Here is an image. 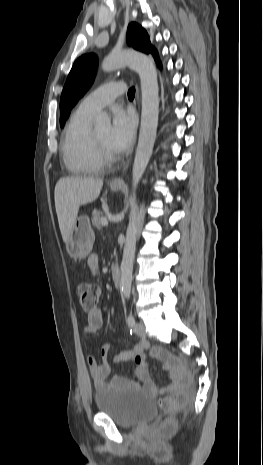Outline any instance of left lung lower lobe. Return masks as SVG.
Masks as SVG:
<instances>
[{
  "label": "left lung lower lobe",
  "instance_id": "1",
  "mask_svg": "<svg viewBox=\"0 0 263 465\" xmlns=\"http://www.w3.org/2000/svg\"><path fill=\"white\" fill-rule=\"evenodd\" d=\"M152 54L154 55V58H155V60H156L157 65L160 67V62H159V59H158L157 51L154 50V51L152 52Z\"/></svg>",
  "mask_w": 263,
  "mask_h": 465
}]
</instances>
